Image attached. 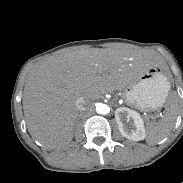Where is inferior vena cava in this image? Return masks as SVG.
<instances>
[{"label":"inferior vena cava","mask_w":183,"mask_h":183,"mask_svg":"<svg viewBox=\"0 0 183 183\" xmlns=\"http://www.w3.org/2000/svg\"><path fill=\"white\" fill-rule=\"evenodd\" d=\"M87 105V101L85 100L84 97H79L76 101V108L79 111H84L85 106Z\"/></svg>","instance_id":"obj_1"}]
</instances>
